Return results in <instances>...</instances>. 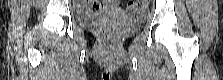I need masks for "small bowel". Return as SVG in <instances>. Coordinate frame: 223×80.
I'll return each mask as SVG.
<instances>
[{
	"mask_svg": "<svg viewBox=\"0 0 223 80\" xmlns=\"http://www.w3.org/2000/svg\"><path fill=\"white\" fill-rule=\"evenodd\" d=\"M116 1H105V2H95L91 5V10L95 12L103 11V10H116L117 9ZM83 9H87L82 6Z\"/></svg>",
	"mask_w": 223,
	"mask_h": 80,
	"instance_id": "c3829d8e",
	"label": "small bowel"
}]
</instances>
